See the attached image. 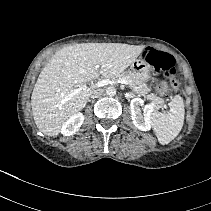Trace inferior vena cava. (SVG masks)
<instances>
[{
  "mask_svg": "<svg viewBox=\"0 0 211 211\" xmlns=\"http://www.w3.org/2000/svg\"><path fill=\"white\" fill-rule=\"evenodd\" d=\"M103 92H104L103 89H96V90H94V91L91 93L90 97H91V98L100 97V96L103 94Z\"/></svg>",
  "mask_w": 211,
  "mask_h": 211,
  "instance_id": "obj_1",
  "label": "inferior vena cava"
}]
</instances>
